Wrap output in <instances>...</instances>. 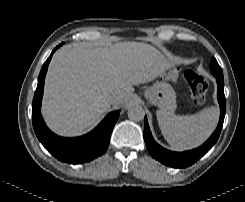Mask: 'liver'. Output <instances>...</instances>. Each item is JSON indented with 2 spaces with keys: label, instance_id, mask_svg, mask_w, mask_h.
<instances>
[{
  "label": "liver",
  "instance_id": "6515ba94",
  "mask_svg": "<svg viewBox=\"0 0 245 202\" xmlns=\"http://www.w3.org/2000/svg\"><path fill=\"white\" fill-rule=\"evenodd\" d=\"M173 66L153 45L117 42L93 46L74 43L58 50L49 66L42 115L54 133L84 134L115 104L128 101L134 85L147 83Z\"/></svg>",
  "mask_w": 245,
  "mask_h": 202
}]
</instances>
